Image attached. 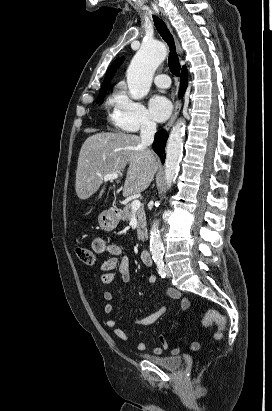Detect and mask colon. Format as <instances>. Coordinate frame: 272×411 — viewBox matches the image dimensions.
<instances>
[{
  "mask_svg": "<svg viewBox=\"0 0 272 411\" xmlns=\"http://www.w3.org/2000/svg\"><path fill=\"white\" fill-rule=\"evenodd\" d=\"M76 255L77 258L80 260L85 265L91 266L95 262V257L93 252L86 248L79 246L76 248ZM202 324L204 327H209L213 324L217 325L218 330L214 335L215 340H219L222 338L223 331L226 326V319L223 315L219 314L216 311H208L205 313L203 319H202Z\"/></svg>",
  "mask_w": 272,
  "mask_h": 411,
  "instance_id": "colon-1",
  "label": "colon"
}]
</instances>
